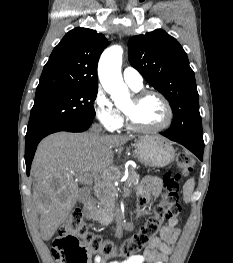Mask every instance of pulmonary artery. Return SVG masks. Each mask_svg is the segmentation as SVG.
<instances>
[{
    "label": "pulmonary artery",
    "mask_w": 233,
    "mask_h": 263,
    "mask_svg": "<svg viewBox=\"0 0 233 263\" xmlns=\"http://www.w3.org/2000/svg\"><path fill=\"white\" fill-rule=\"evenodd\" d=\"M123 79L132 89L138 90L143 85V78L138 70L133 67H126L123 70Z\"/></svg>",
    "instance_id": "obj_1"
}]
</instances>
